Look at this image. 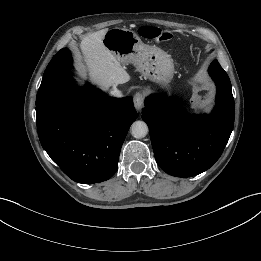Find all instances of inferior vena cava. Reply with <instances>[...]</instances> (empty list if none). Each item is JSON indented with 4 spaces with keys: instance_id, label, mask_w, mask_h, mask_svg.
Here are the masks:
<instances>
[{
    "instance_id": "inferior-vena-cava-1",
    "label": "inferior vena cava",
    "mask_w": 261,
    "mask_h": 261,
    "mask_svg": "<svg viewBox=\"0 0 261 261\" xmlns=\"http://www.w3.org/2000/svg\"><path fill=\"white\" fill-rule=\"evenodd\" d=\"M110 93L116 97L122 96L121 92L117 88H113Z\"/></svg>"
}]
</instances>
